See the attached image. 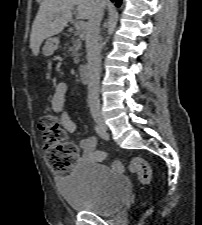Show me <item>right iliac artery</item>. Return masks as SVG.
Segmentation results:
<instances>
[{
    "instance_id": "1",
    "label": "right iliac artery",
    "mask_w": 202,
    "mask_h": 225,
    "mask_svg": "<svg viewBox=\"0 0 202 225\" xmlns=\"http://www.w3.org/2000/svg\"><path fill=\"white\" fill-rule=\"evenodd\" d=\"M94 130L96 131V133L103 139L108 140L109 136L107 135V133L98 125L94 126Z\"/></svg>"
}]
</instances>
